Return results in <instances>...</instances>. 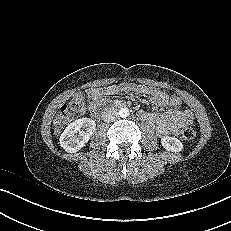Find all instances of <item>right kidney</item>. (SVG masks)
Instances as JSON below:
<instances>
[{
  "mask_svg": "<svg viewBox=\"0 0 231 231\" xmlns=\"http://www.w3.org/2000/svg\"><path fill=\"white\" fill-rule=\"evenodd\" d=\"M95 129L94 120L90 118L77 119L70 123L61 134L60 145L66 152H77L89 141Z\"/></svg>",
  "mask_w": 231,
  "mask_h": 231,
  "instance_id": "right-kidney-1",
  "label": "right kidney"
}]
</instances>
